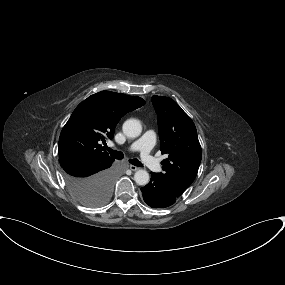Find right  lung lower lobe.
I'll return each mask as SVG.
<instances>
[{"label": "right lung lower lobe", "instance_id": "right-lung-lower-lobe-1", "mask_svg": "<svg viewBox=\"0 0 285 285\" xmlns=\"http://www.w3.org/2000/svg\"><path fill=\"white\" fill-rule=\"evenodd\" d=\"M114 160L111 158L84 159L63 167L68 184L101 183L110 186L115 177Z\"/></svg>", "mask_w": 285, "mask_h": 285}]
</instances>
